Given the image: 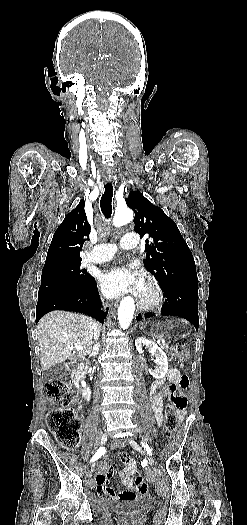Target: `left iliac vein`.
I'll use <instances>...</instances> for the list:
<instances>
[{"label":"left iliac vein","mask_w":247,"mask_h":525,"mask_svg":"<svg viewBox=\"0 0 247 525\" xmlns=\"http://www.w3.org/2000/svg\"><path fill=\"white\" fill-rule=\"evenodd\" d=\"M128 442L135 450H137L139 452H143L142 448L133 439H128ZM145 455H146V459H147L149 465L153 466L154 465V459L148 454H145Z\"/></svg>","instance_id":"4c4485c4"}]
</instances>
